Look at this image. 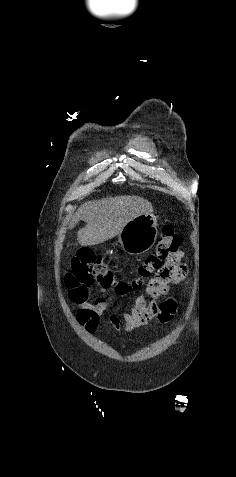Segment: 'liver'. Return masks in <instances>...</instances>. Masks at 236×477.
Returning <instances> with one entry per match:
<instances>
[{
    "label": "liver",
    "mask_w": 236,
    "mask_h": 477,
    "mask_svg": "<svg viewBox=\"0 0 236 477\" xmlns=\"http://www.w3.org/2000/svg\"><path fill=\"white\" fill-rule=\"evenodd\" d=\"M152 211V204L138 196L88 201L78 208L69 228L85 221L86 226L78 231V242L82 246L97 245L118 235L133 218Z\"/></svg>",
    "instance_id": "obj_1"
}]
</instances>
